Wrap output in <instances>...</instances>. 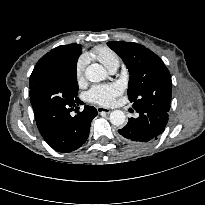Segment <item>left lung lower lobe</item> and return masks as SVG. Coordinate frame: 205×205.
Here are the masks:
<instances>
[{
	"label": "left lung lower lobe",
	"instance_id": "1",
	"mask_svg": "<svg viewBox=\"0 0 205 205\" xmlns=\"http://www.w3.org/2000/svg\"><path fill=\"white\" fill-rule=\"evenodd\" d=\"M138 118H129L125 127L119 129L121 139L134 146H143L157 139L168 122V112L154 108L136 110Z\"/></svg>",
	"mask_w": 205,
	"mask_h": 205
}]
</instances>
